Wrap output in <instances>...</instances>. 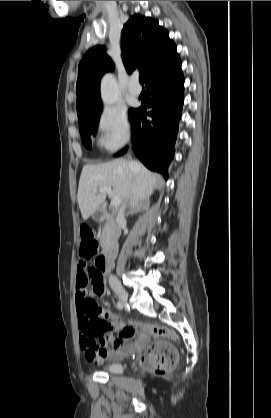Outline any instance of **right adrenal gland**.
Masks as SVG:
<instances>
[{"label": "right adrenal gland", "instance_id": "right-adrenal-gland-1", "mask_svg": "<svg viewBox=\"0 0 271 418\" xmlns=\"http://www.w3.org/2000/svg\"><path fill=\"white\" fill-rule=\"evenodd\" d=\"M141 207H143V208H147L148 207V202H145L144 204H143V206L141 205ZM138 211V208L136 209V208H134V209H132L127 215H129V214H133V213H135V212H137Z\"/></svg>", "mask_w": 271, "mask_h": 418}]
</instances>
